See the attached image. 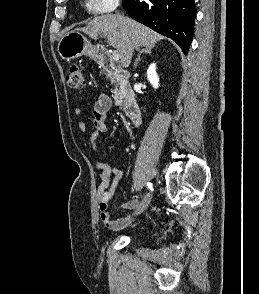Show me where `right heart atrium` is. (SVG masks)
Masks as SVG:
<instances>
[{
  "instance_id": "right-heart-atrium-1",
  "label": "right heart atrium",
  "mask_w": 259,
  "mask_h": 294,
  "mask_svg": "<svg viewBox=\"0 0 259 294\" xmlns=\"http://www.w3.org/2000/svg\"><path fill=\"white\" fill-rule=\"evenodd\" d=\"M119 2L120 0H85L88 10L97 15H103L113 11Z\"/></svg>"
}]
</instances>
